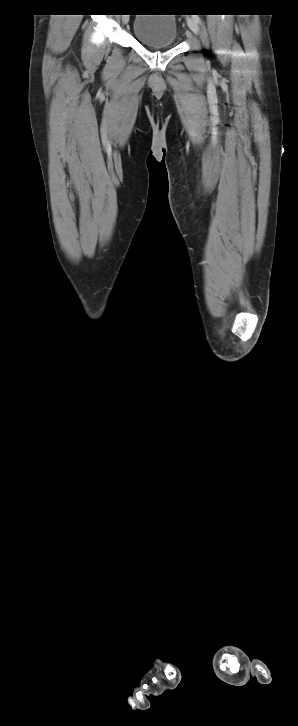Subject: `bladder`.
Returning <instances> with one entry per match:
<instances>
[{"label":"bladder","instance_id":"1","mask_svg":"<svg viewBox=\"0 0 298 726\" xmlns=\"http://www.w3.org/2000/svg\"><path fill=\"white\" fill-rule=\"evenodd\" d=\"M133 36L149 48L173 47L178 39L177 21L172 14H137Z\"/></svg>","mask_w":298,"mask_h":726}]
</instances>
